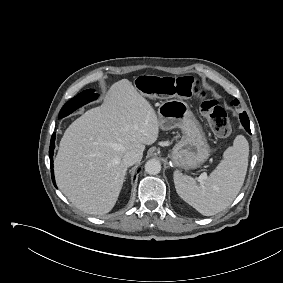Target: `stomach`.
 <instances>
[{
    "label": "stomach",
    "instance_id": "obj_1",
    "mask_svg": "<svg viewBox=\"0 0 283 283\" xmlns=\"http://www.w3.org/2000/svg\"><path fill=\"white\" fill-rule=\"evenodd\" d=\"M158 120L162 130L180 128L183 133L171 152V159L177 167L194 169L209 158L210 147L204 132L186 102L179 99L162 102L158 108Z\"/></svg>",
    "mask_w": 283,
    "mask_h": 283
}]
</instances>
